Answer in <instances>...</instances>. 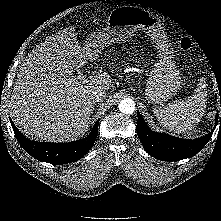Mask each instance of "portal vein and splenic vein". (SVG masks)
Returning <instances> with one entry per match:
<instances>
[{
  "label": "portal vein and splenic vein",
  "mask_w": 221,
  "mask_h": 221,
  "mask_svg": "<svg viewBox=\"0 0 221 221\" xmlns=\"http://www.w3.org/2000/svg\"><path fill=\"white\" fill-rule=\"evenodd\" d=\"M88 79H89V76L84 75L83 72L79 71L77 78H71V79H69V80H70V81L78 80V81L87 82Z\"/></svg>",
  "instance_id": "obj_1"
}]
</instances>
